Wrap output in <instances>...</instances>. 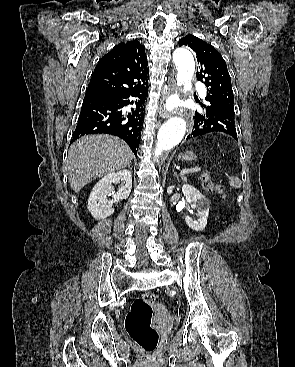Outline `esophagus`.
<instances>
[{"label":"esophagus","instance_id":"1","mask_svg":"<svg viewBox=\"0 0 295 367\" xmlns=\"http://www.w3.org/2000/svg\"><path fill=\"white\" fill-rule=\"evenodd\" d=\"M177 91V86H176V82H175V78H174V73L171 76V79L168 83V86L166 88V91L163 93L162 99H161V104L159 107V116L161 118H168L171 116V113L169 111H167L165 109V100L167 99L168 96H170L171 94H173L174 92Z\"/></svg>","mask_w":295,"mask_h":367}]
</instances>
